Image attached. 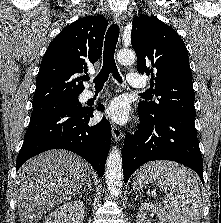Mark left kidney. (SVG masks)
<instances>
[{
	"label": "left kidney",
	"mask_w": 221,
	"mask_h": 223,
	"mask_svg": "<svg viewBox=\"0 0 221 223\" xmlns=\"http://www.w3.org/2000/svg\"><path fill=\"white\" fill-rule=\"evenodd\" d=\"M150 213L158 217V223H174L164 208L152 202H145L140 206L137 213V223H150L146 217Z\"/></svg>",
	"instance_id": "obj_1"
}]
</instances>
